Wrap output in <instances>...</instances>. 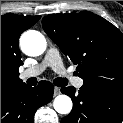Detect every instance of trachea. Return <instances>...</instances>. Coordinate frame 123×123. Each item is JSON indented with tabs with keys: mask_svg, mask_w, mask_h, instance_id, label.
<instances>
[{
	"mask_svg": "<svg viewBox=\"0 0 123 123\" xmlns=\"http://www.w3.org/2000/svg\"><path fill=\"white\" fill-rule=\"evenodd\" d=\"M53 82L56 86L64 87L65 85H67L68 80L66 78H56V79H54ZM28 83L31 85H35L37 83V79L36 78H30L28 80Z\"/></svg>",
	"mask_w": 123,
	"mask_h": 123,
	"instance_id": "1",
	"label": "trachea"
}]
</instances>
